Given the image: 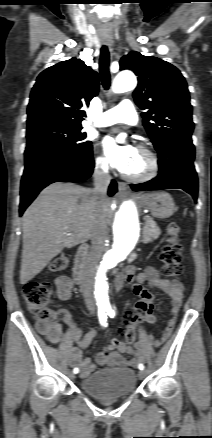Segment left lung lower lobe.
I'll use <instances>...</instances> for the list:
<instances>
[{"label": "left lung lower lobe", "instance_id": "0a47b994", "mask_svg": "<svg viewBox=\"0 0 212 438\" xmlns=\"http://www.w3.org/2000/svg\"><path fill=\"white\" fill-rule=\"evenodd\" d=\"M158 151L159 174L150 181L131 184L134 191L183 189L195 201L198 195V178L194 168L195 148L191 138L165 143Z\"/></svg>", "mask_w": 212, "mask_h": 438}]
</instances>
